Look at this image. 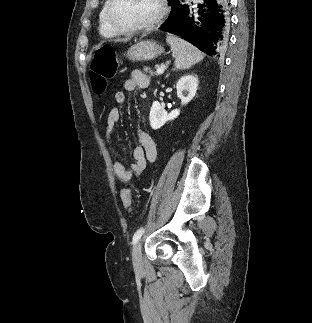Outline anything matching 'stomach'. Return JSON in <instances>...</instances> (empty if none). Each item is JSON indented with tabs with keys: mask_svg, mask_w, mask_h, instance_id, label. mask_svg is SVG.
<instances>
[{
	"mask_svg": "<svg viewBox=\"0 0 312 323\" xmlns=\"http://www.w3.org/2000/svg\"><path fill=\"white\" fill-rule=\"evenodd\" d=\"M164 48L158 46L153 40H141L127 50L125 56L132 62H142V60H154L160 54H163Z\"/></svg>",
	"mask_w": 312,
	"mask_h": 323,
	"instance_id": "obj_1",
	"label": "stomach"
}]
</instances>
